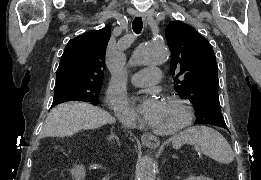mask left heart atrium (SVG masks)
Segmentation results:
<instances>
[{"label":"left heart atrium","instance_id":"39dd6f15","mask_svg":"<svg viewBox=\"0 0 261 180\" xmlns=\"http://www.w3.org/2000/svg\"><path fill=\"white\" fill-rule=\"evenodd\" d=\"M160 103L161 100L155 94L149 93L135 97L130 106V110L146 122H149L159 108Z\"/></svg>","mask_w":261,"mask_h":180}]
</instances>
